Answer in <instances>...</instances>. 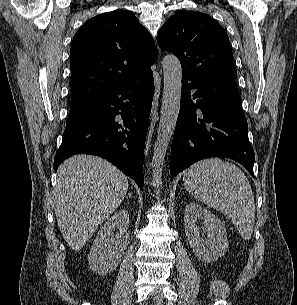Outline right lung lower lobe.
Returning <instances> with one entry per match:
<instances>
[{
	"label": "right lung lower lobe",
	"mask_w": 297,
	"mask_h": 305,
	"mask_svg": "<svg viewBox=\"0 0 297 305\" xmlns=\"http://www.w3.org/2000/svg\"><path fill=\"white\" fill-rule=\"evenodd\" d=\"M154 94L152 71L113 86L70 111L62 144L54 159L79 154L100 156L143 189V155Z\"/></svg>",
	"instance_id": "obj_1"
}]
</instances>
